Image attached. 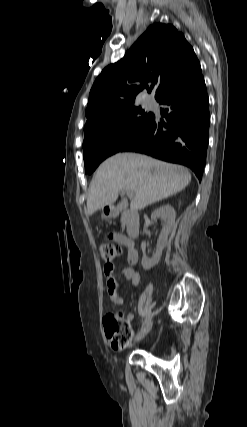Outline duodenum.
<instances>
[{"label":"duodenum","instance_id":"1","mask_svg":"<svg viewBox=\"0 0 247 427\" xmlns=\"http://www.w3.org/2000/svg\"><path fill=\"white\" fill-rule=\"evenodd\" d=\"M108 211L111 216L121 213L126 225L127 239L132 242L139 235L140 216L138 212L132 209L119 211L115 206H110Z\"/></svg>","mask_w":247,"mask_h":427}]
</instances>
